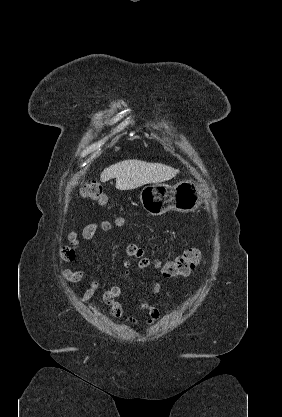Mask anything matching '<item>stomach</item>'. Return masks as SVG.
<instances>
[{"mask_svg":"<svg viewBox=\"0 0 282 417\" xmlns=\"http://www.w3.org/2000/svg\"><path fill=\"white\" fill-rule=\"evenodd\" d=\"M143 209L149 215H164L167 211L179 213H192L199 209L201 196L198 188L194 190L192 182L182 180L174 186L166 182H152L143 186L140 192Z\"/></svg>","mask_w":282,"mask_h":417,"instance_id":"1","label":"stomach"}]
</instances>
